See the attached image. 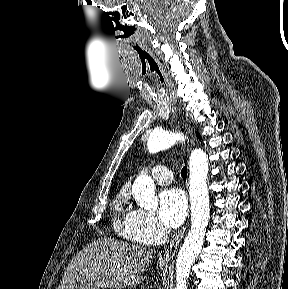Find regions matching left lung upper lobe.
I'll use <instances>...</instances> for the list:
<instances>
[{"instance_id": "left-lung-upper-lobe-1", "label": "left lung upper lobe", "mask_w": 288, "mask_h": 289, "mask_svg": "<svg viewBox=\"0 0 288 289\" xmlns=\"http://www.w3.org/2000/svg\"><path fill=\"white\" fill-rule=\"evenodd\" d=\"M196 134H197V136L199 137V139H201L200 134H199V133H196Z\"/></svg>"}]
</instances>
